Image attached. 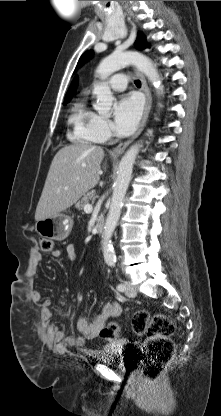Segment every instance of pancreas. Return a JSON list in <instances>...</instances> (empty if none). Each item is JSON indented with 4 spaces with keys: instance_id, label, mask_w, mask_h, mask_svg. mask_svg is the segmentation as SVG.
<instances>
[{
    "instance_id": "cf45deb5",
    "label": "pancreas",
    "mask_w": 221,
    "mask_h": 416,
    "mask_svg": "<svg viewBox=\"0 0 221 416\" xmlns=\"http://www.w3.org/2000/svg\"><path fill=\"white\" fill-rule=\"evenodd\" d=\"M96 197V192L94 190L85 194L80 201H78L75 207L79 210H83L86 204H89L90 200Z\"/></svg>"
}]
</instances>
